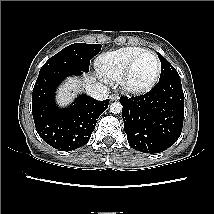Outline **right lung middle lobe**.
<instances>
[{
    "mask_svg": "<svg viewBox=\"0 0 214 214\" xmlns=\"http://www.w3.org/2000/svg\"><path fill=\"white\" fill-rule=\"evenodd\" d=\"M100 44L75 43L67 46L51 57L40 69L44 72L52 69H69L81 72L89 71L90 60L101 50Z\"/></svg>",
    "mask_w": 214,
    "mask_h": 214,
    "instance_id": "right-lung-middle-lobe-1",
    "label": "right lung middle lobe"
}]
</instances>
